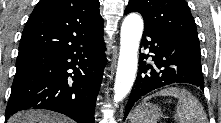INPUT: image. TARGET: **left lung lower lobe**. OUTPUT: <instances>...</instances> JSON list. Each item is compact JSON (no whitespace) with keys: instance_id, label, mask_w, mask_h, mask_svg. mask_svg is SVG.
<instances>
[{"instance_id":"1","label":"left lung lower lobe","mask_w":221,"mask_h":123,"mask_svg":"<svg viewBox=\"0 0 221 123\" xmlns=\"http://www.w3.org/2000/svg\"><path fill=\"white\" fill-rule=\"evenodd\" d=\"M141 46L152 55L139 56V72L124 119L134 103L147 93L172 83H190L204 89L199 45L183 42L160 31L144 26ZM152 57V64L144 59Z\"/></svg>"}]
</instances>
